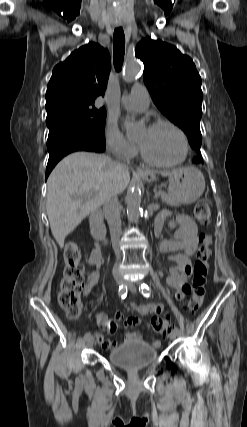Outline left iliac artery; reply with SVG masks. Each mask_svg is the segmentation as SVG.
Wrapping results in <instances>:
<instances>
[{"label":"left iliac artery","mask_w":247,"mask_h":427,"mask_svg":"<svg viewBox=\"0 0 247 427\" xmlns=\"http://www.w3.org/2000/svg\"><path fill=\"white\" fill-rule=\"evenodd\" d=\"M139 290L141 291V293L143 294L144 297L150 296V288L147 284H145V283L141 284V286L139 287ZM174 330L179 331V328L174 327Z\"/></svg>","instance_id":"obj_1"}]
</instances>
